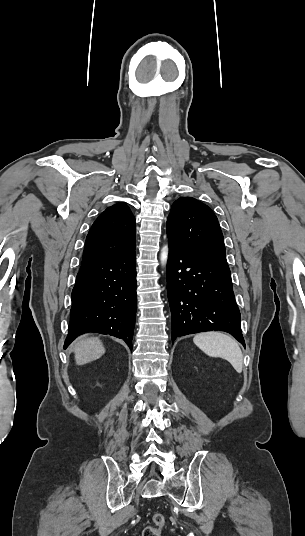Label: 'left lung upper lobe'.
Returning <instances> with one entry per match:
<instances>
[{
    "label": "left lung upper lobe",
    "instance_id": "5c2ea615",
    "mask_svg": "<svg viewBox=\"0 0 305 536\" xmlns=\"http://www.w3.org/2000/svg\"><path fill=\"white\" fill-rule=\"evenodd\" d=\"M167 235L169 241L186 252L226 261L218 219L195 198L180 197L173 203L167 218Z\"/></svg>",
    "mask_w": 305,
    "mask_h": 536
}]
</instances>
